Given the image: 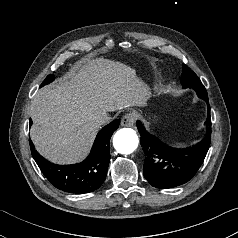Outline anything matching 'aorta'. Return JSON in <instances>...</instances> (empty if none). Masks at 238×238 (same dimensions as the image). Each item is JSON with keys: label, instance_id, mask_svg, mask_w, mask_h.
Segmentation results:
<instances>
[{"label": "aorta", "instance_id": "obj_1", "mask_svg": "<svg viewBox=\"0 0 238 238\" xmlns=\"http://www.w3.org/2000/svg\"><path fill=\"white\" fill-rule=\"evenodd\" d=\"M139 139L131 128L119 129L113 136V146L117 152L129 155L138 148Z\"/></svg>", "mask_w": 238, "mask_h": 238}]
</instances>
